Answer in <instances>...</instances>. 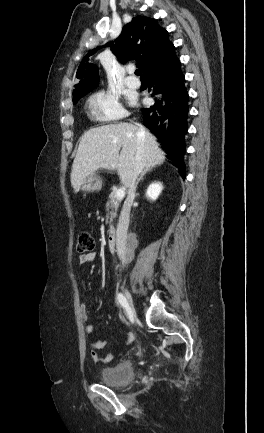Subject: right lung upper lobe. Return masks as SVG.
Wrapping results in <instances>:
<instances>
[{
    "label": "right lung upper lobe",
    "instance_id": "1",
    "mask_svg": "<svg viewBox=\"0 0 264 433\" xmlns=\"http://www.w3.org/2000/svg\"><path fill=\"white\" fill-rule=\"evenodd\" d=\"M121 63L138 60L145 75L150 70L165 64L175 54V47L168 39V32L154 19L137 16L124 26L115 44H108ZM96 50L88 54H94ZM76 77L80 79L73 91V100L81 98L98 84V68L88 63L87 58L78 67Z\"/></svg>",
    "mask_w": 264,
    "mask_h": 433
}]
</instances>
